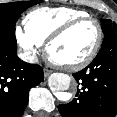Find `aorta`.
Returning a JSON list of instances; mask_svg holds the SVG:
<instances>
[{
	"mask_svg": "<svg viewBox=\"0 0 117 117\" xmlns=\"http://www.w3.org/2000/svg\"><path fill=\"white\" fill-rule=\"evenodd\" d=\"M50 89L56 94L57 98L61 101H67L71 95L67 92L71 85V78L64 73H53L48 79Z\"/></svg>",
	"mask_w": 117,
	"mask_h": 117,
	"instance_id": "aorta-1",
	"label": "aorta"
}]
</instances>
